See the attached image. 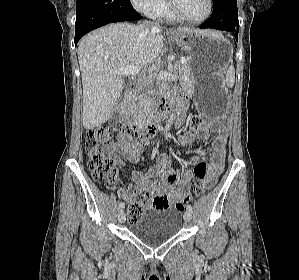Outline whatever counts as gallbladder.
Here are the masks:
<instances>
[{
  "label": "gallbladder",
  "mask_w": 299,
  "mask_h": 280,
  "mask_svg": "<svg viewBox=\"0 0 299 280\" xmlns=\"http://www.w3.org/2000/svg\"><path fill=\"white\" fill-rule=\"evenodd\" d=\"M124 96H125V92H122L116 102V107H118L120 105V103L123 101Z\"/></svg>",
  "instance_id": "1"
}]
</instances>
